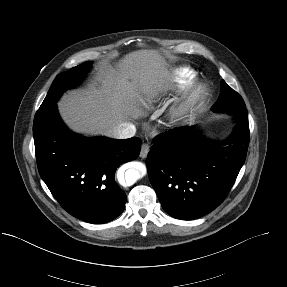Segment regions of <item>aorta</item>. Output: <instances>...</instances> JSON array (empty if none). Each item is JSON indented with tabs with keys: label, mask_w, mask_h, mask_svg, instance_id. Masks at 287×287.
Here are the masks:
<instances>
[{
	"label": "aorta",
	"mask_w": 287,
	"mask_h": 287,
	"mask_svg": "<svg viewBox=\"0 0 287 287\" xmlns=\"http://www.w3.org/2000/svg\"><path fill=\"white\" fill-rule=\"evenodd\" d=\"M140 178V173L135 170H128L125 173V184L131 185L136 182L137 179Z\"/></svg>",
	"instance_id": "obj_1"
}]
</instances>
